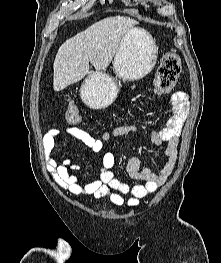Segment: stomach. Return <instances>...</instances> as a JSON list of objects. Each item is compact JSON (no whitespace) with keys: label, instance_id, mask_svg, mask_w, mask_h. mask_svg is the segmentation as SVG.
Wrapping results in <instances>:
<instances>
[{"label":"stomach","instance_id":"obj_1","mask_svg":"<svg viewBox=\"0 0 221 263\" xmlns=\"http://www.w3.org/2000/svg\"><path fill=\"white\" fill-rule=\"evenodd\" d=\"M158 48L153 38L141 28L129 30L116 51L113 69L123 81L144 78L154 68ZM119 93L115 80L105 72H93L83 82L80 95L90 108L101 110L110 106Z\"/></svg>","mask_w":221,"mask_h":263}]
</instances>
